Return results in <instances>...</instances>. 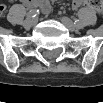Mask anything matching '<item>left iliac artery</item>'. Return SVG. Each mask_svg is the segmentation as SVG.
Instances as JSON below:
<instances>
[{
	"mask_svg": "<svg viewBox=\"0 0 103 103\" xmlns=\"http://www.w3.org/2000/svg\"><path fill=\"white\" fill-rule=\"evenodd\" d=\"M75 24L77 27H81L82 26V23L80 20H75Z\"/></svg>",
	"mask_w": 103,
	"mask_h": 103,
	"instance_id": "left-iliac-artery-1",
	"label": "left iliac artery"
}]
</instances>
